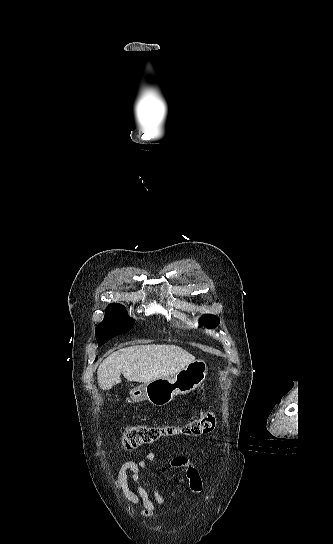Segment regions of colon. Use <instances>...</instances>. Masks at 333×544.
Here are the masks:
<instances>
[{"mask_svg":"<svg viewBox=\"0 0 333 544\" xmlns=\"http://www.w3.org/2000/svg\"><path fill=\"white\" fill-rule=\"evenodd\" d=\"M216 425L214 413H205L187 420L181 426L150 425L137 423L130 425L121 438L122 447L131 451L140 446L151 444L162 437L173 435L200 436L211 433Z\"/></svg>","mask_w":333,"mask_h":544,"instance_id":"obj_1","label":"colon"}]
</instances>
